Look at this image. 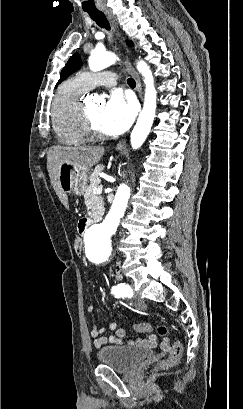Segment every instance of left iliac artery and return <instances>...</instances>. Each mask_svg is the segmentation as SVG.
I'll use <instances>...</instances> for the list:
<instances>
[{
  "instance_id": "left-iliac-artery-1",
  "label": "left iliac artery",
  "mask_w": 243,
  "mask_h": 409,
  "mask_svg": "<svg viewBox=\"0 0 243 409\" xmlns=\"http://www.w3.org/2000/svg\"><path fill=\"white\" fill-rule=\"evenodd\" d=\"M112 294L117 298L126 296L130 297L132 295V290L129 286L122 283L112 287Z\"/></svg>"
}]
</instances>
